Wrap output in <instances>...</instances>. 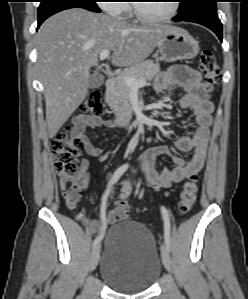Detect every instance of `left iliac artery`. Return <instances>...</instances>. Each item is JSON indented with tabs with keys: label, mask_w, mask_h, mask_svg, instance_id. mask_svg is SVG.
<instances>
[{
	"label": "left iliac artery",
	"mask_w": 248,
	"mask_h": 299,
	"mask_svg": "<svg viewBox=\"0 0 248 299\" xmlns=\"http://www.w3.org/2000/svg\"><path fill=\"white\" fill-rule=\"evenodd\" d=\"M161 213L164 219V237H165V243L170 250V222L168 217V212L165 207L161 206Z\"/></svg>",
	"instance_id": "1"
}]
</instances>
